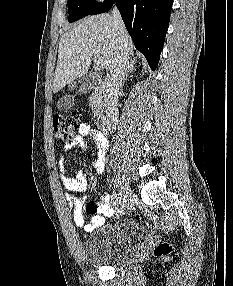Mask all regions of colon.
I'll use <instances>...</instances> for the list:
<instances>
[{
  "label": "colon",
  "mask_w": 233,
  "mask_h": 286,
  "mask_svg": "<svg viewBox=\"0 0 233 286\" xmlns=\"http://www.w3.org/2000/svg\"><path fill=\"white\" fill-rule=\"evenodd\" d=\"M80 120L81 117L77 112L54 115L52 122L55 136L66 142L72 141ZM169 252L170 246L167 243L159 245L154 251L157 256H164Z\"/></svg>",
  "instance_id": "colon-1"
}]
</instances>
